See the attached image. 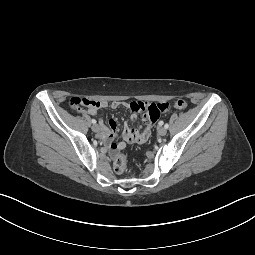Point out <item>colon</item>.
I'll list each match as a JSON object with an SVG mask.
<instances>
[{"label": "colon", "mask_w": 255, "mask_h": 255, "mask_svg": "<svg viewBox=\"0 0 255 255\" xmlns=\"http://www.w3.org/2000/svg\"><path fill=\"white\" fill-rule=\"evenodd\" d=\"M97 101L87 98H73L71 100V107L77 111L81 110V106H95ZM177 109H185L187 102L183 99H178L172 103ZM114 170L116 173H124L127 170L126 157L120 150L114 152Z\"/></svg>", "instance_id": "colon-1"}]
</instances>
